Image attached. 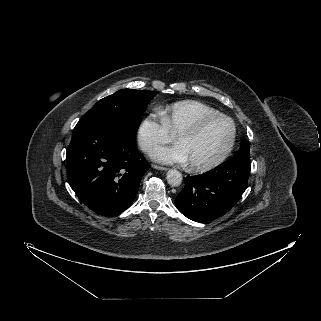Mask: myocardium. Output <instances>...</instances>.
Returning <instances> with one entry per match:
<instances>
[{
    "label": "myocardium",
    "mask_w": 321,
    "mask_h": 321,
    "mask_svg": "<svg viewBox=\"0 0 321 321\" xmlns=\"http://www.w3.org/2000/svg\"><path fill=\"white\" fill-rule=\"evenodd\" d=\"M216 119H223L226 120L230 126H231V135L229 142L223 152L213 161L208 162V163H190V169L193 171H208L211 169H214L221 165L227 157L230 155L236 141V136H237V127L235 121L222 113H216V114H211V115H206L201 118H199L197 121L194 123L182 128L177 132V135L181 134H195L199 132L206 124H208L211 121H214Z\"/></svg>",
    "instance_id": "myocardium-1"
}]
</instances>
